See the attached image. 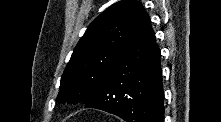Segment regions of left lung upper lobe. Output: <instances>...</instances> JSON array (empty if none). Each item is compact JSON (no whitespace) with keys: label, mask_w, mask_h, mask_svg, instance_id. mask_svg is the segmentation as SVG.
Returning a JSON list of instances; mask_svg holds the SVG:
<instances>
[{"label":"left lung upper lobe","mask_w":221,"mask_h":122,"mask_svg":"<svg viewBox=\"0 0 221 122\" xmlns=\"http://www.w3.org/2000/svg\"><path fill=\"white\" fill-rule=\"evenodd\" d=\"M141 3L122 0L107 8L87 28L61 77L57 102L88 103L121 56Z\"/></svg>","instance_id":"left-lung-upper-lobe-1"}]
</instances>
